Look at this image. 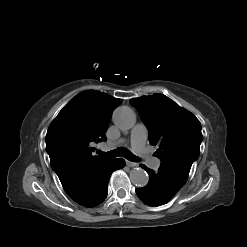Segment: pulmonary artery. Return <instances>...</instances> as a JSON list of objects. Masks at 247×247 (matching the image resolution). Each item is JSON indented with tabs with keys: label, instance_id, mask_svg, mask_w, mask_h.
Wrapping results in <instances>:
<instances>
[{
	"label": "pulmonary artery",
	"instance_id": "e3ab8cb5",
	"mask_svg": "<svg viewBox=\"0 0 247 247\" xmlns=\"http://www.w3.org/2000/svg\"><path fill=\"white\" fill-rule=\"evenodd\" d=\"M148 136L147 128L144 124L138 123L134 126L131 131V145L133 150L141 155H146L145 143ZM148 163L153 168H158L160 166V159L158 158H150Z\"/></svg>",
	"mask_w": 247,
	"mask_h": 247
}]
</instances>
